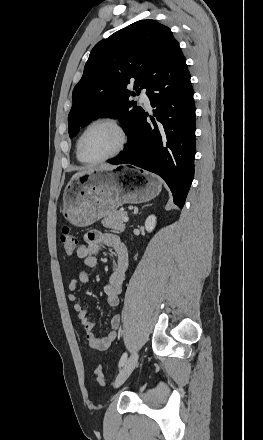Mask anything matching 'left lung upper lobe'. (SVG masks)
<instances>
[{
  "instance_id": "obj_1",
  "label": "left lung upper lobe",
  "mask_w": 263,
  "mask_h": 440,
  "mask_svg": "<svg viewBox=\"0 0 263 440\" xmlns=\"http://www.w3.org/2000/svg\"><path fill=\"white\" fill-rule=\"evenodd\" d=\"M177 45L170 29L155 20L137 21L98 42L72 93L70 138L80 127L104 116L119 118L128 133L144 113L129 97L147 89ZM130 82L135 91L128 89Z\"/></svg>"
}]
</instances>
